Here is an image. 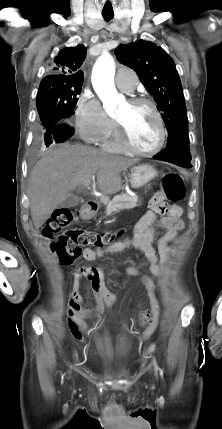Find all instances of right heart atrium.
<instances>
[{
    "instance_id": "1",
    "label": "right heart atrium",
    "mask_w": 222,
    "mask_h": 429,
    "mask_svg": "<svg viewBox=\"0 0 222 429\" xmlns=\"http://www.w3.org/2000/svg\"><path fill=\"white\" fill-rule=\"evenodd\" d=\"M75 122L80 136L91 143L105 140L115 129V121L106 114L94 93L87 89L77 99Z\"/></svg>"
}]
</instances>
